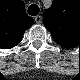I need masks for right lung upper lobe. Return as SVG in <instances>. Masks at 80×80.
Returning <instances> with one entry per match:
<instances>
[{"mask_svg": "<svg viewBox=\"0 0 80 80\" xmlns=\"http://www.w3.org/2000/svg\"><path fill=\"white\" fill-rule=\"evenodd\" d=\"M21 1H13L2 8L0 14V45L11 48L17 45L32 24Z\"/></svg>", "mask_w": 80, "mask_h": 80, "instance_id": "cb5924a9", "label": "right lung upper lobe"}]
</instances>
